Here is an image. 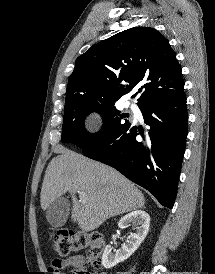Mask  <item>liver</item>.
Instances as JSON below:
<instances>
[{
    "label": "liver",
    "mask_w": 215,
    "mask_h": 274,
    "mask_svg": "<svg viewBox=\"0 0 215 274\" xmlns=\"http://www.w3.org/2000/svg\"><path fill=\"white\" fill-rule=\"evenodd\" d=\"M59 152L45 171L40 195L43 210L69 192L73 202L71 219L88 232L110 217L144 206L142 192L115 169L64 148ZM78 191L87 196L81 204L76 198Z\"/></svg>",
    "instance_id": "obj_1"
}]
</instances>
